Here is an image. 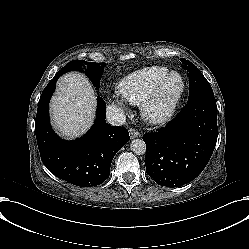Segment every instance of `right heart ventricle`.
Listing matches in <instances>:
<instances>
[{
    "instance_id": "e07e8e85",
    "label": "right heart ventricle",
    "mask_w": 249,
    "mask_h": 249,
    "mask_svg": "<svg viewBox=\"0 0 249 249\" xmlns=\"http://www.w3.org/2000/svg\"><path fill=\"white\" fill-rule=\"evenodd\" d=\"M168 73L163 66H151L129 74L119 85L118 92L127 101L140 106L149 98Z\"/></svg>"
}]
</instances>
